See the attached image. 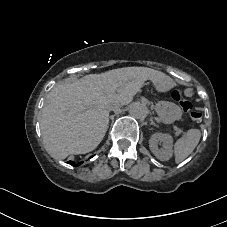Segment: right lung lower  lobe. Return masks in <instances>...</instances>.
Here are the masks:
<instances>
[{
  "instance_id": "obj_1",
  "label": "right lung lower lobe",
  "mask_w": 227,
  "mask_h": 227,
  "mask_svg": "<svg viewBox=\"0 0 227 227\" xmlns=\"http://www.w3.org/2000/svg\"><path fill=\"white\" fill-rule=\"evenodd\" d=\"M68 163L71 164V165L74 166V167H77V166L81 165L82 162H80V163H78V164H75L74 162L69 161Z\"/></svg>"
}]
</instances>
